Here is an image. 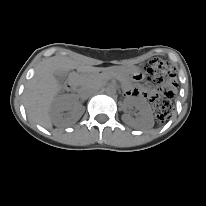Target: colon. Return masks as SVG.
Listing matches in <instances>:
<instances>
[{
    "mask_svg": "<svg viewBox=\"0 0 206 206\" xmlns=\"http://www.w3.org/2000/svg\"><path fill=\"white\" fill-rule=\"evenodd\" d=\"M146 72L150 80L164 87L160 95L152 97L153 110L158 120L166 119L171 113V97L176 86L175 68L169 62L154 59L147 63Z\"/></svg>",
    "mask_w": 206,
    "mask_h": 206,
    "instance_id": "obj_1",
    "label": "colon"
}]
</instances>
